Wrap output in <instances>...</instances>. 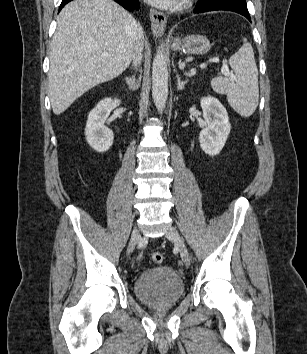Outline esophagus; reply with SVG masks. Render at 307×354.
<instances>
[{"mask_svg": "<svg viewBox=\"0 0 307 354\" xmlns=\"http://www.w3.org/2000/svg\"><path fill=\"white\" fill-rule=\"evenodd\" d=\"M151 21V29L154 36L159 37L165 30L167 18L166 16L157 10L151 9L149 12Z\"/></svg>", "mask_w": 307, "mask_h": 354, "instance_id": "obj_1", "label": "esophagus"}]
</instances>
